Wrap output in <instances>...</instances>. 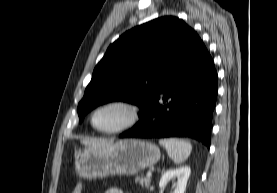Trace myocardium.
Segmentation results:
<instances>
[{
	"label": "myocardium",
	"mask_w": 277,
	"mask_h": 193,
	"mask_svg": "<svg viewBox=\"0 0 277 193\" xmlns=\"http://www.w3.org/2000/svg\"><path fill=\"white\" fill-rule=\"evenodd\" d=\"M109 106H118L126 109L128 111L129 117L125 123H123L121 126L117 128L110 129V130L99 129L94 124V116L100 109L109 107ZM140 118H141L140 108L136 103L127 99L115 98V99H109V100L103 101L98 105H96L90 113L89 122L91 127L99 133L106 134V135H115V134L123 133L135 127L140 121Z\"/></svg>",
	"instance_id": "1"
}]
</instances>
